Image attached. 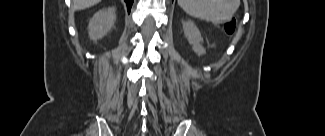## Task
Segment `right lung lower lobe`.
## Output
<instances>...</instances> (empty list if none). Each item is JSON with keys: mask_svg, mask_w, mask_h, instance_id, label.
<instances>
[{"mask_svg": "<svg viewBox=\"0 0 325 136\" xmlns=\"http://www.w3.org/2000/svg\"><path fill=\"white\" fill-rule=\"evenodd\" d=\"M134 0H125L128 12H130Z\"/></svg>", "mask_w": 325, "mask_h": 136, "instance_id": "1", "label": "right lung lower lobe"}]
</instances>
